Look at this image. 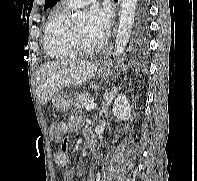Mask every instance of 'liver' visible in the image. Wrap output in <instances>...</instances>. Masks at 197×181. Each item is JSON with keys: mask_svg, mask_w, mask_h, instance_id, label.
Returning a JSON list of instances; mask_svg holds the SVG:
<instances>
[{"mask_svg": "<svg viewBox=\"0 0 197 181\" xmlns=\"http://www.w3.org/2000/svg\"><path fill=\"white\" fill-rule=\"evenodd\" d=\"M97 72V65L81 60L51 61L37 71L36 94L42 105L66 86L83 85Z\"/></svg>", "mask_w": 197, "mask_h": 181, "instance_id": "6515ba94", "label": "liver"}]
</instances>
